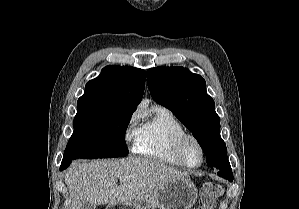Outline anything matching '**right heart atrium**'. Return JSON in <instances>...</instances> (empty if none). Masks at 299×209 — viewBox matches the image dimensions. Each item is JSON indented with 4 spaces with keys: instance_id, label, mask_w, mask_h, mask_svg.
Listing matches in <instances>:
<instances>
[{
    "instance_id": "right-heart-atrium-1",
    "label": "right heart atrium",
    "mask_w": 299,
    "mask_h": 209,
    "mask_svg": "<svg viewBox=\"0 0 299 209\" xmlns=\"http://www.w3.org/2000/svg\"><path fill=\"white\" fill-rule=\"evenodd\" d=\"M138 115L136 113L132 114L128 120L127 127L124 133L125 141L129 144L136 139Z\"/></svg>"
}]
</instances>
